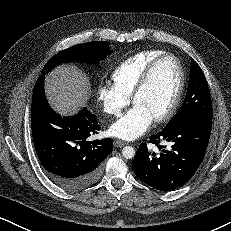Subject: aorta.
I'll return each mask as SVG.
<instances>
[{"mask_svg": "<svg viewBox=\"0 0 231 231\" xmlns=\"http://www.w3.org/2000/svg\"><path fill=\"white\" fill-rule=\"evenodd\" d=\"M122 155L126 159H132L135 156V149L132 146H125L122 149Z\"/></svg>", "mask_w": 231, "mask_h": 231, "instance_id": "obj_1", "label": "aorta"}]
</instances>
